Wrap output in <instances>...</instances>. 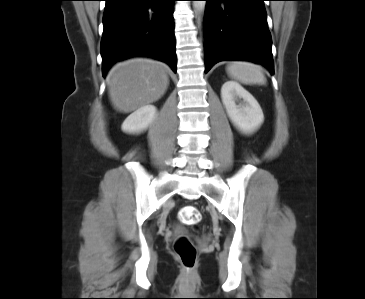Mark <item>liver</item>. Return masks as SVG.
Returning a JSON list of instances; mask_svg holds the SVG:
<instances>
[{"label": "liver", "mask_w": 365, "mask_h": 299, "mask_svg": "<svg viewBox=\"0 0 365 299\" xmlns=\"http://www.w3.org/2000/svg\"><path fill=\"white\" fill-rule=\"evenodd\" d=\"M107 83L114 108L130 113L164 95L169 84L168 67L151 59L127 60L111 69Z\"/></svg>", "instance_id": "liver-1"}]
</instances>
